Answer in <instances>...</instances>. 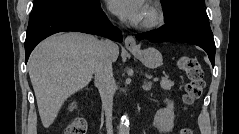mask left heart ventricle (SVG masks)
Listing matches in <instances>:
<instances>
[{"label": "left heart ventricle", "instance_id": "obj_1", "mask_svg": "<svg viewBox=\"0 0 239 134\" xmlns=\"http://www.w3.org/2000/svg\"><path fill=\"white\" fill-rule=\"evenodd\" d=\"M147 17H148V10H146V13H145V16H144V18H143V21L146 20Z\"/></svg>", "mask_w": 239, "mask_h": 134}]
</instances>
